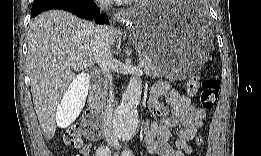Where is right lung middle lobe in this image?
I'll list each match as a JSON object with an SVG mask.
<instances>
[{
	"mask_svg": "<svg viewBox=\"0 0 261 156\" xmlns=\"http://www.w3.org/2000/svg\"><path fill=\"white\" fill-rule=\"evenodd\" d=\"M53 0H34L33 4H38V3H45V2H51Z\"/></svg>",
	"mask_w": 261,
	"mask_h": 156,
	"instance_id": "dd1d6c3e",
	"label": "right lung middle lobe"
}]
</instances>
